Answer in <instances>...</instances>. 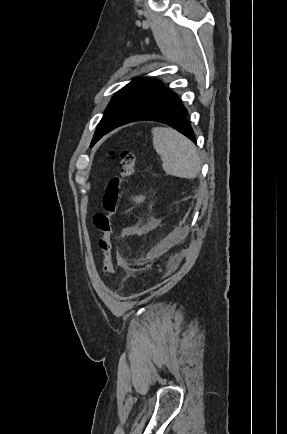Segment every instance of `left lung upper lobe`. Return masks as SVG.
<instances>
[{
	"label": "left lung upper lobe",
	"instance_id": "1",
	"mask_svg": "<svg viewBox=\"0 0 287 434\" xmlns=\"http://www.w3.org/2000/svg\"><path fill=\"white\" fill-rule=\"evenodd\" d=\"M172 93L165 88L162 82L157 80H132L111 99L94 134L91 146L103 135L121 126L136 112L163 100Z\"/></svg>",
	"mask_w": 287,
	"mask_h": 434
}]
</instances>
